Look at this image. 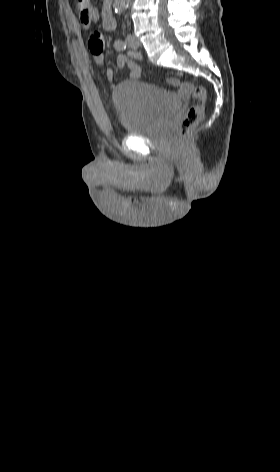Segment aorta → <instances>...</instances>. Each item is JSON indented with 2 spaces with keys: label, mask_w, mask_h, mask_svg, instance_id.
<instances>
[{
  "label": "aorta",
  "mask_w": 280,
  "mask_h": 472,
  "mask_svg": "<svg viewBox=\"0 0 280 472\" xmlns=\"http://www.w3.org/2000/svg\"><path fill=\"white\" fill-rule=\"evenodd\" d=\"M130 3V0H114L113 7L116 12L121 13Z\"/></svg>",
  "instance_id": "1"
}]
</instances>
